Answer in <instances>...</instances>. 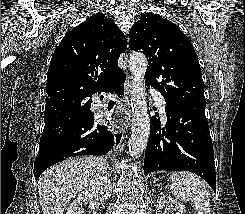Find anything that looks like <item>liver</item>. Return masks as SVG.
Wrapping results in <instances>:
<instances>
[{
  "label": "liver",
  "mask_w": 245,
  "mask_h": 214,
  "mask_svg": "<svg viewBox=\"0 0 245 214\" xmlns=\"http://www.w3.org/2000/svg\"><path fill=\"white\" fill-rule=\"evenodd\" d=\"M105 169L104 158L94 156L67 159L47 169L38 181L43 214H63L71 199Z\"/></svg>",
  "instance_id": "6515ba94"
}]
</instances>
